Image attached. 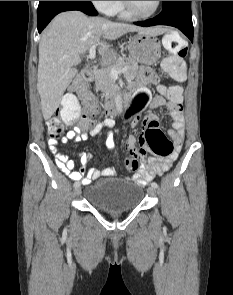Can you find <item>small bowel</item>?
I'll return each instance as SVG.
<instances>
[{"mask_svg":"<svg viewBox=\"0 0 233 295\" xmlns=\"http://www.w3.org/2000/svg\"><path fill=\"white\" fill-rule=\"evenodd\" d=\"M156 77L149 68H141L139 72V80L136 84L137 91L132 98L131 106L129 108V116L131 124L135 125L139 122L141 112L147 107L160 108L165 106L168 110L170 117L172 118V129L169 131V136L174 144L173 151L164 157H148L144 161L134 176V181L139 185H146L156 176L162 175L167 172L174 161L177 159L178 153L182 147L184 139V116L182 109V93L176 97L168 96L162 93L152 97L150 90L146 87L147 84L155 82ZM85 107L90 105H96V101L92 95L88 98L82 99ZM115 125L114 120L111 117H105L102 121L89 124L84 120H81L78 125L69 130L65 136L61 138V142L67 143L70 140L75 142L86 141L89 138L98 137L104 128H111ZM154 127L160 128L158 117L155 114H148L143 121V128ZM49 150L55 157L57 166L73 180H82L84 184H88L91 180L98 179L99 177H109L115 175L113 168H105L99 170L97 168H91L88 170L86 176L85 166L90 162L92 155L90 153H80V160L82 167L79 170H74V160L65 154H61L58 151L57 140L51 138L48 141ZM106 148L109 151H113L115 148V141L112 134H108L105 142ZM126 145L129 149L134 148V140L128 139Z\"/></svg>","mask_w":233,"mask_h":295,"instance_id":"c3829d8e","label":"small bowel"}]
</instances>
